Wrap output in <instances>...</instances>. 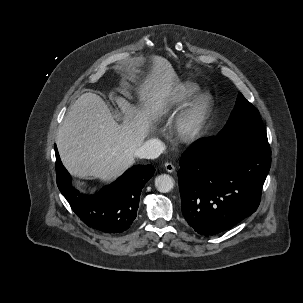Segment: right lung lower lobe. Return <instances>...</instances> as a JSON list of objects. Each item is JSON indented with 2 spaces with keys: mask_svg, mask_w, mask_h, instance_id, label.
<instances>
[{
  "mask_svg": "<svg viewBox=\"0 0 303 303\" xmlns=\"http://www.w3.org/2000/svg\"><path fill=\"white\" fill-rule=\"evenodd\" d=\"M55 154L58 188L86 225L105 233H121L133 224L141 190L155 171L152 165L133 166L114 183L88 196L71 185L70 174L62 165L56 146Z\"/></svg>",
  "mask_w": 303,
  "mask_h": 303,
  "instance_id": "right-lung-lower-lobe-1",
  "label": "right lung lower lobe"
}]
</instances>
